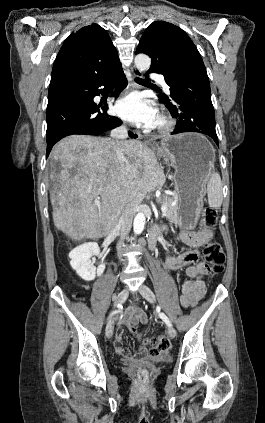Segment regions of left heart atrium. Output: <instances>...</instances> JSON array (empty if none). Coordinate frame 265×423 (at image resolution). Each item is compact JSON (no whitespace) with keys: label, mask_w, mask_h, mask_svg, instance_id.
I'll use <instances>...</instances> for the list:
<instances>
[{"label":"left heart atrium","mask_w":265,"mask_h":423,"mask_svg":"<svg viewBox=\"0 0 265 423\" xmlns=\"http://www.w3.org/2000/svg\"><path fill=\"white\" fill-rule=\"evenodd\" d=\"M115 112L122 119L145 127H153L158 117L156 107L138 93L129 94L118 100Z\"/></svg>","instance_id":"39dd6f15"}]
</instances>
